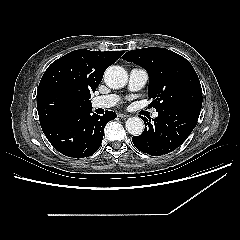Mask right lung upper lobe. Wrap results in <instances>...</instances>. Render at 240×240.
I'll return each instance as SVG.
<instances>
[{
  "instance_id": "obj_1",
  "label": "right lung upper lobe",
  "mask_w": 240,
  "mask_h": 240,
  "mask_svg": "<svg viewBox=\"0 0 240 240\" xmlns=\"http://www.w3.org/2000/svg\"><path fill=\"white\" fill-rule=\"evenodd\" d=\"M123 55L122 51L74 50L54 61L37 90V109L44 128L74 112L92 109L91 92L104 71Z\"/></svg>"
}]
</instances>
